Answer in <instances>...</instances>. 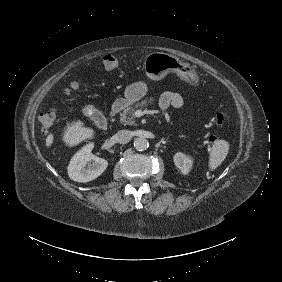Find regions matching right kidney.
Instances as JSON below:
<instances>
[{
	"instance_id": "right-kidney-1",
	"label": "right kidney",
	"mask_w": 282,
	"mask_h": 282,
	"mask_svg": "<svg viewBox=\"0 0 282 282\" xmlns=\"http://www.w3.org/2000/svg\"><path fill=\"white\" fill-rule=\"evenodd\" d=\"M94 142L83 146L70 160L68 176L76 182H89L99 177L107 168L108 162L91 153Z\"/></svg>"
}]
</instances>
